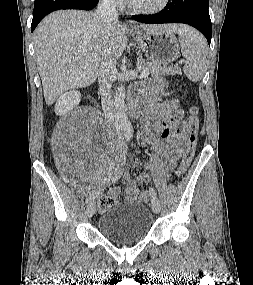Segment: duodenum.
<instances>
[{
  "mask_svg": "<svg viewBox=\"0 0 253 285\" xmlns=\"http://www.w3.org/2000/svg\"><path fill=\"white\" fill-rule=\"evenodd\" d=\"M130 112L133 116L138 114V99L135 96L130 98Z\"/></svg>",
  "mask_w": 253,
  "mask_h": 285,
  "instance_id": "410a0bca",
  "label": "duodenum"
}]
</instances>
